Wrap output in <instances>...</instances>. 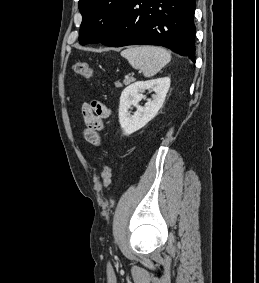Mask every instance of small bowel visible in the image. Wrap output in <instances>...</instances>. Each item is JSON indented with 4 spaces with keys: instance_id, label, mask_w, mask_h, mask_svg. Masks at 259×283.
Returning <instances> with one entry per match:
<instances>
[{
    "instance_id": "obj_1",
    "label": "small bowel",
    "mask_w": 259,
    "mask_h": 283,
    "mask_svg": "<svg viewBox=\"0 0 259 283\" xmlns=\"http://www.w3.org/2000/svg\"><path fill=\"white\" fill-rule=\"evenodd\" d=\"M81 112L85 124V139L93 145H100V131L103 129L104 120L110 116V109L99 101H93L85 103Z\"/></svg>"
}]
</instances>
